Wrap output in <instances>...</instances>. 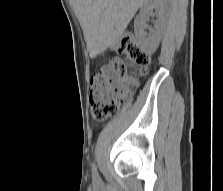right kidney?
<instances>
[{
  "label": "right kidney",
  "instance_id": "right-kidney-1",
  "mask_svg": "<svg viewBox=\"0 0 223 191\" xmlns=\"http://www.w3.org/2000/svg\"><path fill=\"white\" fill-rule=\"evenodd\" d=\"M167 0H147L140 9V14L134 21V31L139 47L142 51L152 54L156 51L162 36L165 24V10L167 8ZM158 10V20L154 29L146 32L147 21L152 11Z\"/></svg>",
  "mask_w": 223,
  "mask_h": 191
}]
</instances>
